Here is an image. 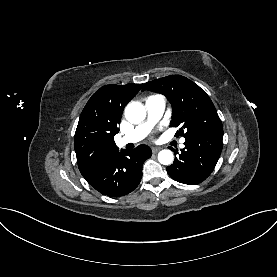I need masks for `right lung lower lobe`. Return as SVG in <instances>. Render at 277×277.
<instances>
[{"label": "right lung lower lobe", "instance_id": "98d812e1", "mask_svg": "<svg viewBox=\"0 0 277 277\" xmlns=\"http://www.w3.org/2000/svg\"><path fill=\"white\" fill-rule=\"evenodd\" d=\"M151 154V149L146 145H140L133 150H118L83 177L103 195H126L139 185L142 165Z\"/></svg>", "mask_w": 277, "mask_h": 277}]
</instances>
